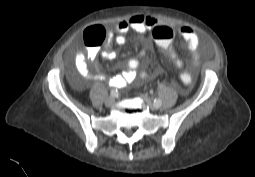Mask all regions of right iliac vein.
<instances>
[{
	"label": "right iliac vein",
	"instance_id": "1",
	"mask_svg": "<svg viewBox=\"0 0 255 177\" xmlns=\"http://www.w3.org/2000/svg\"><path fill=\"white\" fill-rule=\"evenodd\" d=\"M114 103H115V97L110 96V97H108V98L105 100V106H106V107H111V106L114 105Z\"/></svg>",
	"mask_w": 255,
	"mask_h": 177
}]
</instances>
